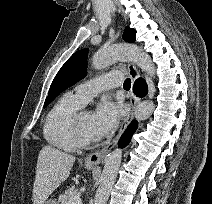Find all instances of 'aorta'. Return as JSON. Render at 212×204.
I'll use <instances>...</instances> for the list:
<instances>
[{"mask_svg":"<svg viewBox=\"0 0 212 204\" xmlns=\"http://www.w3.org/2000/svg\"><path fill=\"white\" fill-rule=\"evenodd\" d=\"M120 60L132 61L151 77L155 76L156 69L150 56L138 46L129 44H115L99 49L92 58V66L95 69H103ZM154 109L155 105L152 101H143L135 109V118L139 121L146 120L152 115ZM121 159V149H115L107 155L94 204L107 203Z\"/></svg>","mask_w":212,"mask_h":204,"instance_id":"1","label":"aorta"}]
</instances>
